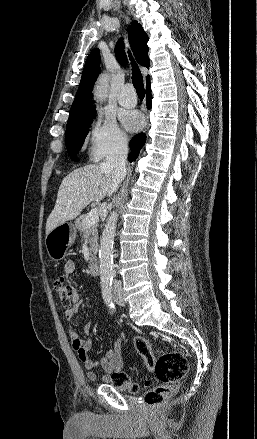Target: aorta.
Here are the masks:
<instances>
[{"label": "aorta", "mask_w": 257, "mask_h": 439, "mask_svg": "<svg viewBox=\"0 0 257 439\" xmlns=\"http://www.w3.org/2000/svg\"><path fill=\"white\" fill-rule=\"evenodd\" d=\"M108 78L100 77L95 87V98L102 100L106 96ZM118 213L112 211L102 232L99 247L100 279L102 284L111 283L114 277L113 270V244L117 227Z\"/></svg>", "instance_id": "obj_1"}]
</instances>
